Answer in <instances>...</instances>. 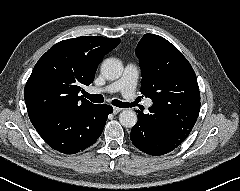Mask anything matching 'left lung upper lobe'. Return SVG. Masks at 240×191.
I'll list each match as a JSON object with an SVG mask.
<instances>
[{"instance_id":"1","label":"left lung upper lobe","mask_w":240,"mask_h":191,"mask_svg":"<svg viewBox=\"0 0 240 191\" xmlns=\"http://www.w3.org/2000/svg\"><path fill=\"white\" fill-rule=\"evenodd\" d=\"M142 71L141 93L153 100L150 113L160 118L199 114L196 74L187 59L169 41L145 34L136 47Z\"/></svg>"}]
</instances>
